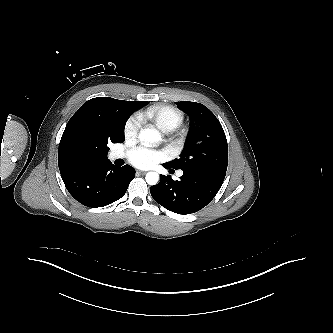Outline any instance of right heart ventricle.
<instances>
[{
    "instance_id": "1",
    "label": "right heart ventricle",
    "mask_w": 333,
    "mask_h": 333,
    "mask_svg": "<svg viewBox=\"0 0 333 333\" xmlns=\"http://www.w3.org/2000/svg\"><path fill=\"white\" fill-rule=\"evenodd\" d=\"M139 116L142 120L152 122L165 133L177 129L184 120V113L181 109L165 104L152 105Z\"/></svg>"
}]
</instances>
